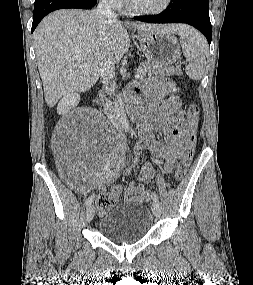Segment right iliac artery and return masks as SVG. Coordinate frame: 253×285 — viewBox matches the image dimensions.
Instances as JSON below:
<instances>
[{
    "label": "right iliac artery",
    "instance_id": "1",
    "mask_svg": "<svg viewBox=\"0 0 253 285\" xmlns=\"http://www.w3.org/2000/svg\"><path fill=\"white\" fill-rule=\"evenodd\" d=\"M115 179H117V177H116ZM94 197H95L94 195H91V196L86 200L85 205H86V206L91 205V203H92L93 200H94Z\"/></svg>",
    "mask_w": 253,
    "mask_h": 285
}]
</instances>
